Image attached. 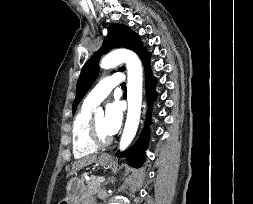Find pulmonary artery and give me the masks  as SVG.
I'll return each instance as SVG.
<instances>
[{
    "mask_svg": "<svg viewBox=\"0 0 253 204\" xmlns=\"http://www.w3.org/2000/svg\"><path fill=\"white\" fill-rule=\"evenodd\" d=\"M123 80L124 76L122 73H114L104 77L86 96L83 104L95 108L109 95L115 86L122 84Z\"/></svg>",
    "mask_w": 253,
    "mask_h": 204,
    "instance_id": "e3ab8cb5",
    "label": "pulmonary artery"
}]
</instances>
